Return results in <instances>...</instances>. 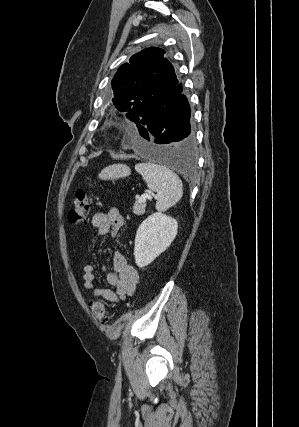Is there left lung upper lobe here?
I'll use <instances>...</instances> for the list:
<instances>
[{
	"instance_id": "obj_1",
	"label": "left lung upper lobe",
	"mask_w": 299,
	"mask_h": 427,
	"mask_svg": "<svg viewBox=\"0 0 299 427\" xmlns=\"http://www.w3.org/2000/svg\"><path fill=\"white\" fill-rule=\"evenodd\" d=\"M164 54L160 48L144 49L120 66L111 82L113 104L134 122L141 108L160 101L179 82Z\"/></svg>"
}]
</instances>
